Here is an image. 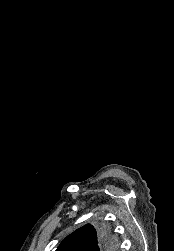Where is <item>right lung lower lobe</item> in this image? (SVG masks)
<instances>
[{
  "label": "right lung lower lobe",
  "mask_w": 174,
  "mask_h": 251,
  "mask_svg": "<svg viewBox=\"0 0 174 251\" xmlns=\"http://www.w3.org/2000/svg\"><path fill=\"white\" fill-rule=\"evenodd\" d=\"M100 231V241L99 244L93 249V251H112L114 250V244L112 242L111 235L109 231L106 229L102 228L99 230Z\"/></svg>",
  "instance_id": "98d812e1"
}]
</instances>
